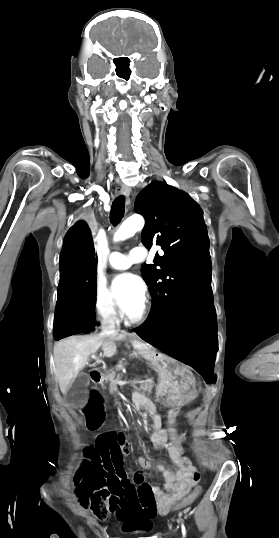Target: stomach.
<instances>
[{"instance_id": "1", "label": "stomach", "mask_w": 279, "mask_h": 538, "mask_svg": "<svg viewBox=\"0 0 279 538\" xmlns=\"http://www.w3.org/2000/svg\"><path fill=\"white\" fill-rule=\"evenodd\" d=\"M149 363L160 373L158 382L154 385V397L161 401L163 408L168 409L172 404L182 408L188 405L187 401L195 400L197 389L192 386L191 368L186 363L170 358L169 353H150Z\"/></svg>"}]
</instances>
